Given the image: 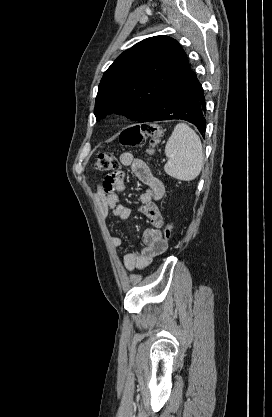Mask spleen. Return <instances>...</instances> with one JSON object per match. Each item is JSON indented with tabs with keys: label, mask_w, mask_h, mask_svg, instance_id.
<instances>
[{
	"label": "spleen",
	"mask_w": 272,
	"mask_h": 417,
	"mask_svg": "<svg viewBox=\"0 0 272 417\" xmlns=\"http://www.w3.org/2000/svg\"><path fill=\"white\" fill-rule=\"evenodd\" d=\"M165 172L183 181L194 180L203 168L204 153L199 136L184 123H178L167 141Z\"/></svg>",
	"instance_id": "spleen-1"
}]
</instances>
